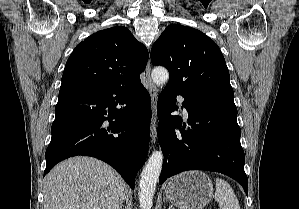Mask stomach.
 Returning <instances> with one entry per match:
<instances>
[{
	"mask_svg": "<svg viewBox=\"0 0 299 209\" xmlns=\"http://www.w3.org/2000/svg\"><path fill=\"white\" fill-rule=\"evenodd\" d=\"M165 194L178 209H202L213 198V184L204 172L187 171L169 181Z\"/></svg>",
	"mask_w": 299,
	"mask_h": 209,
	"instance_id": "stomach-1",
	"label": "stomach"
}]
</instances>
